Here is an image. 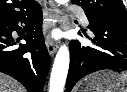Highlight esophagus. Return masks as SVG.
Instances as JSON below:
<instances>
[{
    "label": "esophagus",
    "instance_id": "34e87169",
    "mask_svg": "<svg viewBox=\"0 0 127 92\" xmlns=\"http://www.w3.org/2000/svg\"><path fill=\"white\" fill-rule=\"evenodd\" d=\"M44 7L50 15V19L47 24V36H46V47L51 56H53L58 48L57 43H55L51 38V28L55 25V17L58 15V8L54 4L53 0H44Z\"/></svg>",
    "mask_w": 127,
    "mask_h": 92
}]
</instances>
